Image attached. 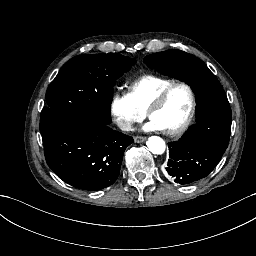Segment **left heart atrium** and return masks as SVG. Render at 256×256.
<instances>
[{"label":"left heart atrium","mask_w":256,"mask_h":256,"mask_svg":"<svg viewBox=\"0 0 256 256\" xmlns=\"http://www.w3.org/2000/svg\"><path fill=\"white\" fill-rule=\"evenodd\" d=\"M144 128L148 131L168 133L165 124L155 117H151V119L145 124Z\"/></svg>","instance_id":"obj_1"}]
</instances>
